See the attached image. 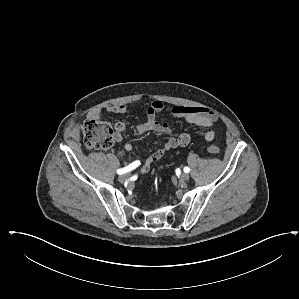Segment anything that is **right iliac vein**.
<instances>
[{"label":"right iliac vein","instance_id":"1","mask_svg":"<svg viewBox=\"0 0 299 299\" xmlns=\"http://www.w3.org/2000/svg\"><path fill=\"white\" fill-rule=\"evenodd\" d=\"M129 174H124V175H121L120 177H119V181L121 182V183H124V182H126L128 179H129Z\"/></svg>","mask_w":299,"mask_h":299}]
</instances>
